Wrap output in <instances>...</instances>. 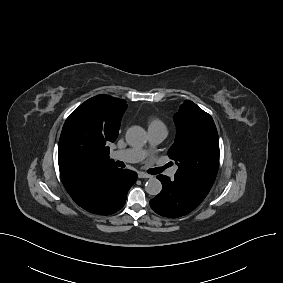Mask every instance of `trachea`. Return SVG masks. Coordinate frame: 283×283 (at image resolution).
<instances>
[{
  "mask_svg": "<svg viewBox=\"0 0 283 283\" xmlns=\"http://www.w3.org/2000/svg\"><path fill=\"white\" fill-rule=\"evenodd\" d=\"M166 167H167V165H166L165 167H160V168H156V169L149 170L148 172H149L150 174H158V173L162 172L163 169L166 168Z\"/></svg>",
  "mask_w": 283,
  "mask_h": 283,
  "instance_id": "1",
  "label": "trachea"
}]
</instances>
